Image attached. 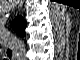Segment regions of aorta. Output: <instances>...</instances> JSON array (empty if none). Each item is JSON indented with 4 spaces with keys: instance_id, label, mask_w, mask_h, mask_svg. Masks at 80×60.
Returning <instances> with one entry per match:
<instances>
[{
    "instance_id": "obj_1",
    "label": "aorta",
    "mask_w": 80,
    "mask_h": 60,
    "mask_svg": "<svg viewBox=\"0 0 80 60\" xmlns=\"http://www.w3.org/2000/svg\"><path fill=\"white\" fill-rule=\"evenodd\" d=\"M14 43L17 45L18 49H22L23 44L20 40L14 39Z\"/></svg>"
}]
</instances>
